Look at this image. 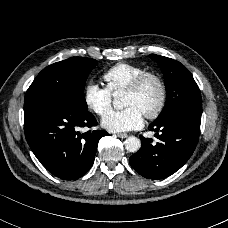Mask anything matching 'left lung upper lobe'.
I'll list each match as a JSON object with an SVG mask.
<instances>
[{
	"instance_id": "5c2ea615",
	"label": "left lung upper lobe",
	"mask_w": 228,
	"mask_h": 228,
	"mask_svg": "<svg viewBox=\"0 0 228 228\" xmlns=\"http://www.w3.org/2000/svg\"><path fill=\"white\" fill-rule=\"evenodd\" d=\"M150 57L158 63L164 74L167 93L165 107L155 121L180 111L201 114V93L187 68L164 56L151 54Z\"/></svg>"
}]
</instances>
